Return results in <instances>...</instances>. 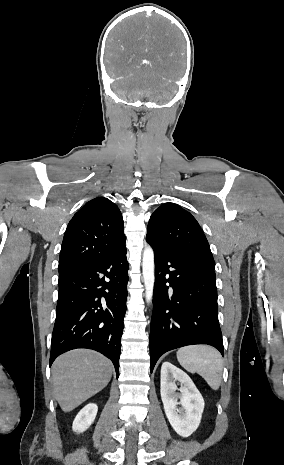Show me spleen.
Wrapping results in <instances>:
<instances>
[{
    "instance_id": "3e777b00",
    "label": "spleen",
    "mask_w": 284,
    "mask_h": 465,
    "mask_svg": "<svg viewBox=\"0 0 284 465\" xmlns=\"http://www.w3.org/2000/svg\"><path fill=\"white\" fill-rule=\"evenodd\" d=\"M177 359L188 373H198L213 391H218L223 371V361L219 351L207 345H191L179 349Z\"/></svg>"
}]
</instances>
